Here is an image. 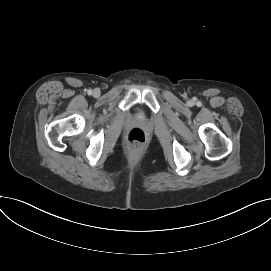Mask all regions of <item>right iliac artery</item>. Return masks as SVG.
I'll return each instance as SVG.
<instances>
[{"label": "right iliac artery", "mask_w": 271, "mask_h": 271, "mask_svg": "<svg viewBox=\"0 0 271 271\" xmlns=\"http://www.w3.org/2000/svg\"><path fill=\"white\" fill-rule=\"evenodd\" d=\"M88 94L91 95L92 94V90H88Z\"/></svg>", "instance_id": "1"}]
</instances>
